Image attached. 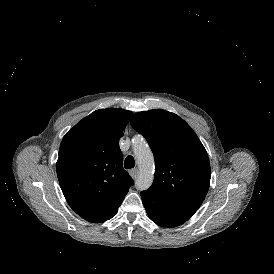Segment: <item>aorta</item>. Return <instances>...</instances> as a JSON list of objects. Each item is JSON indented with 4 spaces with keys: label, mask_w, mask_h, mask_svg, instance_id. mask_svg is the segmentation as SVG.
Here are the masks:
<instances>
[{
    "label": "aorta",
    "mask_w": 274,
    "mask_h": 274,
    "mask_svg": "<svg viewBox=\"0 0 274 274\" xmlns=\"http://www.w3.org/2000/svg\"><path fill=\"white\" fill-rule=\"evenodd\" d=\"M133 150L139 165V173L135 185L138 190H146L152 185L154 180V156L143 138L135 139Z\"/></svg>",
    "instance_id": "762f6f07"
}]
</instances>
